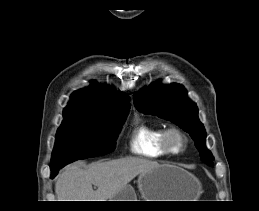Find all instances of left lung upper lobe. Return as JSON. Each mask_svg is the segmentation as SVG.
<instances>
[{"mask_svg": "<svg viewBox=\"0 0 259 211\" xmlns=\"http://www.w3.org/2000/svg\"><path fill=\"white\" fill-rule=\"evenodd\" d=\"M138 110L167 119L188 132L194 140L201 159L213 166L214 157L206 148V132L198 119V109L179 84H155L143 89L134 97Z\"/></svg>", "mask_w": 259, "mask_h": 211, "instance_id": "5c2ea615", "label": "left lung upper lobe"}]
</instances>
